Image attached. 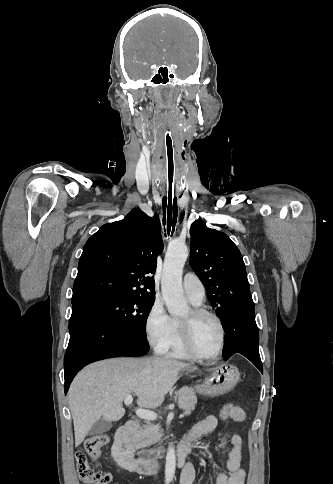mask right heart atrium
Returning <instances> with one entry per match:
<instances>
[{"label": "right heart atrium", "mask_w": 333, "mask_h": 484, "mask_svg": "<svg viewBox=\"0 0 333 484\" xmlns=\"http://www.w3.org/2000/svg\"><path fill=\"white\" fill-rule=\"evenodd\" d=\"M170 331L171 317L167 314L162 301L155 300L144 320V332L148 344L161 353L169 341Z\"/></svg>", "instance_id": "1"}]
</instances>
